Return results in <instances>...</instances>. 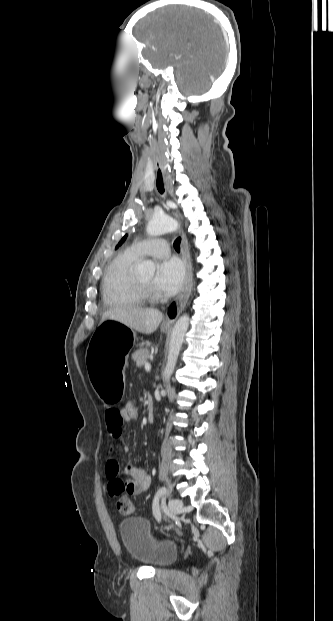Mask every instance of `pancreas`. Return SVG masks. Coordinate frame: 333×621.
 Returning a JSON list of instances; mask_svg holds the SVG:
<instances>
[{
	"mask_svg": "<svg viewBox=\"0 0 333 621\" xmlns=\"http://www.w3.org/2000/svg\"><path fill=\"white\" fill-rule=\"evenodd\" d=\"M150 356V352L147 348H141L133 352L132 359L136 361L138 367H141L148 363Z\"/></svg>",
	"mask_w": 333,
	"mask_h": 621,
	"instance_id": "pancreas-1",
	"label": "pancreas"
}]
</instances>
